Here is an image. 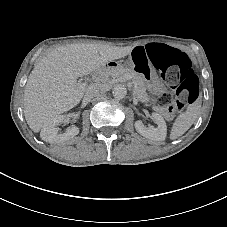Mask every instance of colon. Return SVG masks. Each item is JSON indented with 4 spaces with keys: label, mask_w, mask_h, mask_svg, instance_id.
Listing matches in <instances>:
<instances>
[{
    "label": "colon",
    "mask_w": 227,
    "mask_h": 227,
    "mask_svg": "<svg viewBox=\"0 0 227 227\" xmlns=\"http://www.w3.org/2000/svg\"><path fill=\"white\" fill-rule=\"evenodd\" d=\"M147 56L133 52L131 59L135 68L144 75L153 69L174 89L175 96L164 93L155 100V105L168 116L181 111L185 103L195 101L199 96V80L194 73L188 56L182 51L164 44L147 45Z\"/></svg>",
    "instance_id": "obj_1"
}]
</instances>
